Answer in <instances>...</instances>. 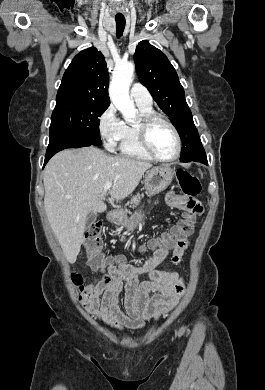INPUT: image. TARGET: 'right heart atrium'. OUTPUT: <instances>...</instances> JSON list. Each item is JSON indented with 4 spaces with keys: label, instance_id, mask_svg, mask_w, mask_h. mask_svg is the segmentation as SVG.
I'll list each match as a JSON object with an SVG mask.
<instances>
[{
    "label": "right heart atrium",
    "instance_id": "obj_1",
    "mask_svg": "<svg viewBox=\"0 0 265 390\" xmlns=\"http://www.w3.org/2000/svg\"><path fill=\"white\" fill-rule=\"evenodd\" d=\"M124 124L113 104H110L99 116L98 131L107 149L114 150L117 147L123 134Z\"/></svg>",
    "mask_w": 265,
    "mask_h": 390
}]
</instances>
